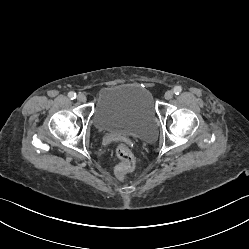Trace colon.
Instances as JSON below:
<instances>
[{
	"instance_id": "obj_1",
	"label": "colon",
	"mask_w": 249,
	"mask_h": 249,
	"mask_svg": "<svg viewBox=\"0 0 249 249\" xmlns=\"http://www.w3.org/2000/svg\"><path fill=\"white\" fill-rule=\"evenodd\" d=\"M117 156L120 159V164L116 168V173L122 175L134 169L135 161L131 150L125 144H120L116 150Z\"/></svg>"
}]
</instances>
